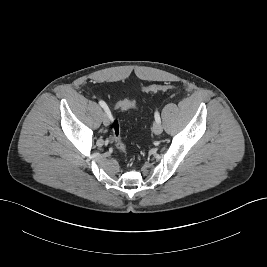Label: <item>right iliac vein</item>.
Instances as JSON below:
<instances>
[{
    "label": "right iliac vein",
    "mask_w": 267,
    "mask_h": 267,
    "mask_svg": "<svg viewBox=\"0 0 267 267\" xmlns=\"http://www.w3.org/2000/svg\"><path fill=\"white\" fill-rule=\"evenodd\" d=\"M102 122H103V124H104L105 126H108V125H109V117H108V115H107L106 112L103 113V115H102Z\"/></svg>",
    "instance_id": "obj_1"
}]
</instances>
